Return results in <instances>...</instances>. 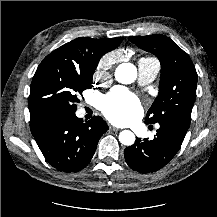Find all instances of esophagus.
I'll use <instances>...</instances> for the list:
<instances>
[{"label":"esophagus","instance_id":"1","mask_svg":"<svg viewBox=\"0 0 217 217\" xmlns=\"http://www.w3.org/2000/svg\"><path fill=\"white\" fill-rule=\"evenodd\" d=\"M109 129L112 130V131H115V132L120 130L119 128H116V127H114L112 125L109 126Z\"/></svg>","mask_w":217,"mask_h":217}]
</instances>
